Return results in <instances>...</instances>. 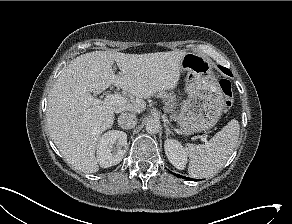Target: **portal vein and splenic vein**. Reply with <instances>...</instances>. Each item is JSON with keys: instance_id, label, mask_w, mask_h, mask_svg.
Returning a JSON list of instances; mask_svg holds the SVG:
<instances>
[{"instance_id": "18ae733b", "label": "portal vein and splenic vein", "mask_w": 292, "mask_h": 224, "mask_svg": "<svg viewBox=\"0 0 292 224\" xmlns=\"http://www.w3.org/2000/svg\"><path fill=\"white\" fill-rule=\"evenodd\" d=\"M127 99L119 94H108L105 97V102L114 106H122L126 104ZM200 139L207 142L206 138L200 136Z\"/></svg>"}]
</instances>
